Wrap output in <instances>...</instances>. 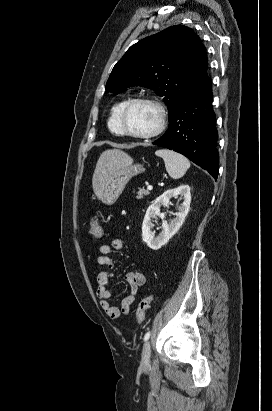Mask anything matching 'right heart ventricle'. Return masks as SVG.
Segmentation results:
<instances>
[{"label": "right heart ventricle", "instance_id": "right-heart-ventricle-1", "mask_svg": "<svg viewBox=\"0 0 272 411\" xmlns=\"http://www.w3.org/2000/svg\"><path fill=\"white\" fill-rule=\"evenodd\" d=\"M127 100L128 99L124 98L116 102L112 106L108 120H107V127L110 130V132L118 136L122 135L119 122H118L119 112Z\"/></svg>", "mask_w": 272, "mask_h": 411}]
</instances>
